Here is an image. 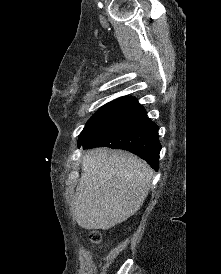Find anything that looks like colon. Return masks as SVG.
Returning a JSON list of instances; mask_svg holds the SVG:
<instances>
[{"mask_svg":"<svg viewBox=\"0 0 221 274\" xmlns=\"http://www.w3.org/2000/svg\"><path fill=\"white\" fill-rule=\"evenodd\" d=\"M90 240L93 242V243H96V244H98V243H100L101 241H102V235H101V233L100 232H98V231H92L91 233H90Z\"/></svg>","mask_w":221,"mask_h":274,"instance_id":"colon-1","label":"colon"}]
</instances>
